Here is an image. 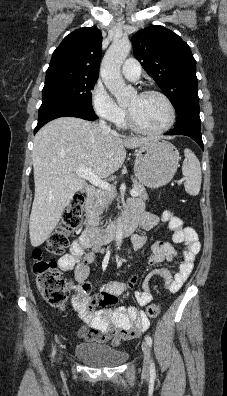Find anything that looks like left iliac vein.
Listing matches in <instances>:
<instances>
[{
	"instance_id": "1",
	"label": "left iliac vein",
	"mask_w": 227,
	"mask_h": 396,
	"mask_svg": "<svg viewBox=\"0 0 227 396\" xmlns=\"http://www.w3.org/2000/svg\"><path fill=\"white\" fill-rule=\"evenodd\" d=\"M142 351H143V371L145 373H149L150 366H151V356H150V349L146 342L142 343Z\"/></svg>"
}]
</instances>
